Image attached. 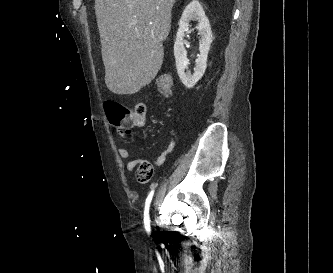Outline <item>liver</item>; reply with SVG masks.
I'll return each instance as SVG.
<instances>
[{
	"mask_svg": "<svg viewBox=\"0 0 333 273\" xmlns=\"http://www.w3.org/2000/svg\"><path fill=\"white\" fill-rule=\"evenodd\" d=\"M176 0H95L105 84L134 94L161 69Z\"/></svg>",
	"mask_w": 333,
	"mask_h": 273,
	"instance_id": "obj_1",
	"label": "liver"
}]
</instances>
